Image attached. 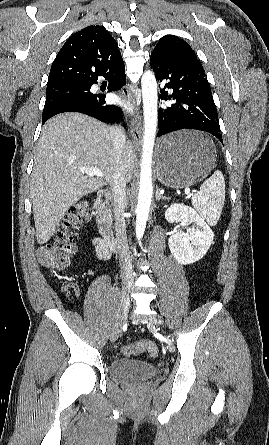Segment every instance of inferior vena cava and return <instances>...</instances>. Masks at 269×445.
<instances>
[{"label": "inferior vena cava", "mask_w": 269, "mask_h": 445, "mask_svg": "<svg viewBox=\"0 0 269 445\" xmlns=\"http://www.w3.org/2000/svg\"><path fill=\"white\" fill-rule=\"evenodd\" d=\"M110 134L113 141V152L117 162V168L114 175L112 186V198L115 207V231L118 242V249L121 261L123 263V278L125 280L133 279L135 273L133 272L132 261L130 257L128 240L126 235V225L123 217L124 201L126 199V181L122 172V152L124 144L126 143V133L121 126L110 128Z\"/></svg>", "instance_id": "602c4592"}]
</instances>
